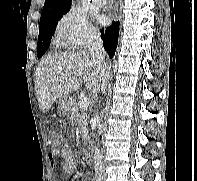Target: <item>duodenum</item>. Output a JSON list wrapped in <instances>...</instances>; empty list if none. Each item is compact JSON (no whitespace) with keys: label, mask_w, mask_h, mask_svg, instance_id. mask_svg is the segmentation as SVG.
I'll list each match as a JSON object with an SVG mask.
<instances>
[{"label":"duodenum","mask_w":197,"mask_h":181,"mask_svg":"<svg viewBox=\"0 0 197 181\" xmlns=\"http://www.w3.org/2000/svg\"><path fill=\"white\" fill-rule=\"evenodd\" d=\"M85 151H86V153L88 154V155H92V148L90 147V146H86L85 147Z\"/></svg>","instance_id":"obj_1"}]
</instances>
